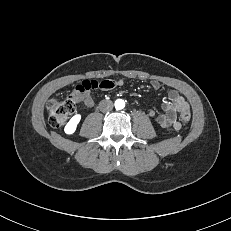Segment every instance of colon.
<instances>
[{
    "label": "colon",
    "instance_id": "colon-1",
    "mask_svg": "<svg viewBox=\"0 0 231 231\" xmlns=\"http://www.w3.org/2000/svg\"><path fill=\"white\" fill-rule=\"evenodd\" d=\"M76 110V100L69 96L65 99L52 98L47 103V111L49 114V123L53 127L64 125L69 117ZM191 118L189 110H184L180 114V119L183 122H188Z\"/></svg>",
    "mask_w": 231,
    "mask_h": 231
}]
</instances>
